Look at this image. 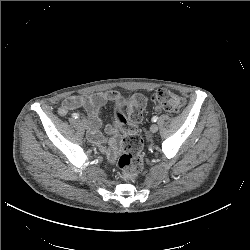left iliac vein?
I'll list each match as a JSON object with an SVG mask.
<instances>
[{
	"instance_id": "left-iliac-vein-1",
	"label": "left iliac vein",
	"mask_w": 250,
	"mask_h": 250,
	"mask_svg": "<svg viewBox=\"0 0 250 250\" xmlns=\"http://www.w3.org/2000/svg\"><path fill=\"white\" fill-rule=\"evenodd\" d=\"M150 131L152 133H156L158 131V126L156 124L151 125Z\"/></svg>"
}]
</instances>
